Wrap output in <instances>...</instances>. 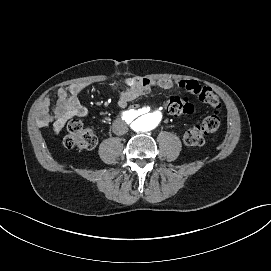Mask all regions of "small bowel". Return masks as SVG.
I'll return each mask as SVG.
<instances>
[{"label": "small bowel", "instance_id": "1", "mask_svg": "<svg viewBox=\"0 0 271 271\" xmlns=\"http://www.w3.org/2000/svg\"><path fill=\"white\" fill-rule=\"evenodd\" d=\"M89 86L88 83H74L59 88L56 92L57 100L55 104L51 103L49 97L44 98L36 113V123L38 126L45 129L51 128L53 133L59 134L65 124L73 117H87L89 110L80 103L78 95ZM125 86L118 99L120 107H125L128 103L148 93L153 88L169 90L178 87L190 94L198 95L202 87L195 80L146 78L126 79Z\"/></svg>", "mask_w": 271, "mask_h": 271}]
</instances>
